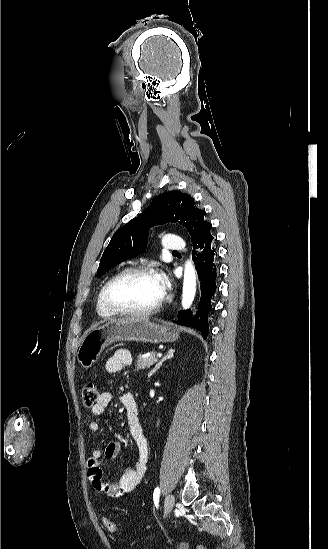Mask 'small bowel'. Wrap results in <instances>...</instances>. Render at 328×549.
Instances as JSON below:
<instances>
[{"label": "small bowel", "instance_id": "small-bowel-1", "mask_svg": "<svg viewBox=\"0 0 328 549\" xmlns=\"http://www.w3.org/2000/svg\"><path fill=\"white\" fill-rule=\"evenodd\" d=\"M131 363V353L128 350L120 349L107 359L105 370L109 374H115L124 367L130 366ZM111 401L112 395L109 392L101 393L91 409L92 414L102 416ZM120 402L125 409L129 435L137 449L138 456L133 468L126 469L117 481L107 482L103 477L100 461L104 456L110 460L115 459L120 452L121 442H110L104 451L100 448L92 450L87 461L89 478L96 490L106 498H118L133 491L146 472L149 457L148 441L139 422L138 409L133 396L129 393H123L120 396ZM88 428L94 434L101 431V425L97 421H90Z\"/></svg>", "mask_w": 328, "mask_h": 549}]
</instances>
